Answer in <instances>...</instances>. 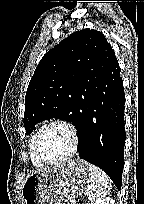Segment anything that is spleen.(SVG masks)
<instances>
[{"label": "spleen", "instance_id": "obj_1", "mask_svg": "<svg viewBox=\"0 0 144 204\" xmlns=\"http://www.w3.org/2000/svg\"><path fill=\"white\" fill-rule=\"evenodd\" d=\"M90 185L86 194L90 201H99L110 193L112 188L108 175L100 168L90 164Z\"/></svg>", "mask_w": 144, "mask_h": 204}]
</instances>
